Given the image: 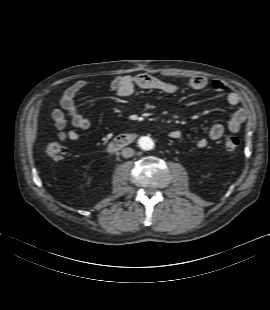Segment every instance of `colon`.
Listing matches in <instances>:
<instances>
[{"mask_svg": "<svg viewBox=\"0 0 270 310\" xmlns=\"http://www.w3.org/2000/svg\"><path fill=\"white\" fill-rule=\"evenodd\" d=\"M240 145L236 136H229L225 140V148L228 151H235ZM65 147L57 142H51L46 146V154L53 160L61 159L65 154Z\"/></svg>", "mask_w": 270, "mask_h": 310, "instance_id": "5ec220e1", "label": "colon"}]
</instances>
